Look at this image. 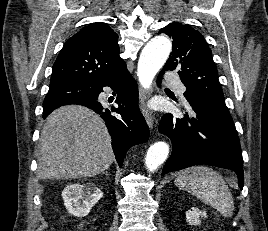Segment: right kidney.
I'll return each mask as SVG.
<instances>
[{"label": "right kidney", "mask_w": 268, "mask_h": 231, "mask_svg": "<svg viewBox=\"0 0 268 231\" xmlns=\"http://www.w3.org/2000/svg\"><path fill=\"white\" fill-rule=\"evenodd\" d=\"M102 197L103 192L93 183L70 184L62 191L66 209L76 217L87 216Z\"/></svg>", "instance_id": "right-kidney-1"}]
</instances>
